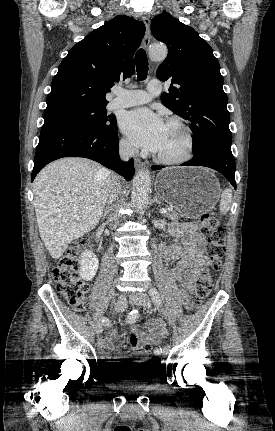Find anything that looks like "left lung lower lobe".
Here are the masks:
<instances>
[{"label":"left lung lower lobe","instance_id":"0a47b994","mask_svg":"<svg viewBox=\"0 0 275 431\" xmlns=\"http://www.w3.org/2000/svg\"><path fill=\"white\" fill-rule=\"evenodd\" d=\"M181 166H205L217 170L236 189L235 160L230 145H212L201 148L194 153L193 158L181 164ZM161 166L153 165L152 169H161Z\"/></svg>","mask_w":275,"mask_h":431}]
</instances>
